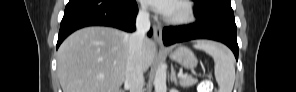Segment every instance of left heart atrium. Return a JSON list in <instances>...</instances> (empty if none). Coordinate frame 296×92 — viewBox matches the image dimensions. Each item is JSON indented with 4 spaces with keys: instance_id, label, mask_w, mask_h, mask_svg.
Returning <instances> with one entry per match:
<instances>
[{
    "instance_id": "left-heart-atrium-1",
    "label": "left heart atrium",
    "mask_w": 296,
    "mask_h": 92,
    "mask_svg": "<svg viewBox=\"0 0 296 92\" xmlns=\"http://www.w3.org/2000/svg\"><path fill=\"white\" fill-rule=\"evenodd\" d=\"M144 3L165 16H170L176 7V4L173 1L167 0H145Z\"/></svg>"
}]
</instances>
